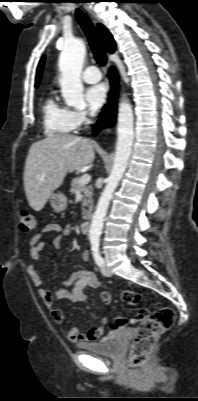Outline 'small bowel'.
I'll list each match as a JSON object with an SVG mask.
<instances>
[{
    "instance_id": "1",
    "label": "small bowel",
    "mask_w": 198,
    "mask_h": 401,
    "mask_svg": "<svg viewBox=\"0 0 198 401\" xmlns=\"http://www.w3.org/2000/svg\"><path fill=\"white\" fill-rule=\"evenodd\" d=\"M50 234H55L54 245L56 247H61L70 236L71 227L69 225H60L57 223H50L43 226L30 240V255L32 260L38 261L41 259V253L44 247L43 238ZM82 259L85 262L89 261L90 256L87 251L82 253ZM26 271L33 285L38 288L39 295L50 307L53 320L59 324L64 321V314L61 310L53 307L55 300L82 303L88 299V295L85 293L86 288H98L101 286V281L92 271L83 269L72 274L71 277L64 281L55 291H50L42 287V279L34 265H29ZM99 298L105 305H109L112 300L111 294L107 291L101 292ZM63 333L69 341L83 346L87 344V342L99 339L104 333V326L102 324L93 326L86 333H81L77 328L68 326L63 328Z\"/></svg>"
}]
</instances>
